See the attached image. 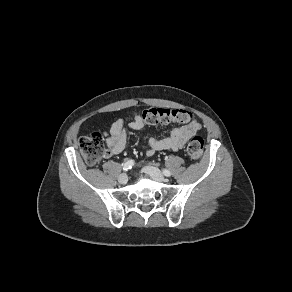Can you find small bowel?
<instances>
[{
  "label": "small bowel",
  "instance_id": "small-bowel-1",
  "mask_svg": "<svg viewBox=\"0 0 292 292\" xmlns=\"http://www.w3.org/2000/svg\"><path fill=\"white\" fill-rule=\"evenodd\" d=\"M186 119L178 122L179 125L171 130L168 136L164 138H149L147 142L146 155L153 156L158 151H177L184 147L188 140L201 130V125L197 122L190 112H185ZM145 124L142 114L135 113L128 128L141 134ZM105 141L107 150L104 156L112 157L121 153L127 144V131L123 119L116 120L105 132Z\"/></svg>",
  "mask_w": 292,
  "mask_h": 292
}]
</instances>
